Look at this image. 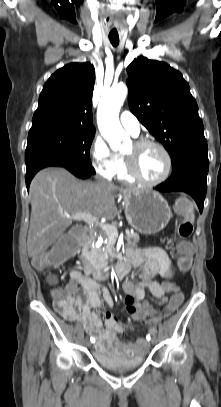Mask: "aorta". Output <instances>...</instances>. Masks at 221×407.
I'll list each match as a JSON object with an SVG mask.
<instances>
[{"mask_svg":"<svg viewBox=\"0 0 221 407\" xmlns=\"http://www.w3.org/2000/svg\"><path fill=\"white\" fill-rule=\"evenodd\" d=\"M127 93L128 90L124 84L114 86L102 95L98 105V127L113 150L120 148V142L126 136L118 116Z\"/></svg>","mask_w":221,"mask_h":407,"instance_id":"1","label":"aorta"}]
</instances>
